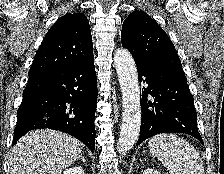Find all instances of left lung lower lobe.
Segmentation results:
<instances>
[{"label":"left lung lower lobe","mask_w":224,"mask_h":174,"mask_svg":"<svg viewBox=\"0 0 224 174\" xmlns=\"http://www.w3.org/2000/svg\"><path fill=\"white\" fill-rule=\"evenodd\" d=\"M142 88V122L137 145L160 133H185L202 144L197 113L185 75L136 65ZM148 97L152 99L149 100Z\"/></svg>","instance_id":"left-lung-lower-lobe-1"}]
</instances>
